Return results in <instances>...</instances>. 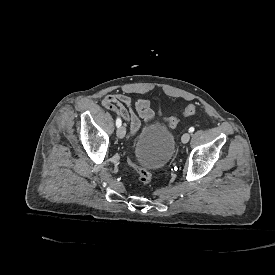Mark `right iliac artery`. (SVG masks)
<instances>
[{"label": "right iliac artery", "mask_w": 275, "mask_h": 275, "mask_svg": "<svg viewBox=\"0 0 275 275\" xmlns=\"http://www.w3.org/2000/svg\"><path fill=\"white\" fill-rule=\"evenodd\" d=\"M121 119L120 118H117V120H116V126L117 127H120L121 126Z\"/></svg>", "instance_id": "1"}]
</instances>
